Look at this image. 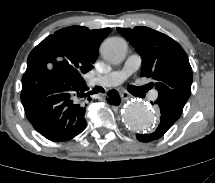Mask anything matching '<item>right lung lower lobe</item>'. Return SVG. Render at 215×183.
I'll list each match as a JSON object with an SVG mask.
<instances>
[{"label": "right lung lower lobe", "instance_id": "obj_1", "mask_svg": "<svg viewBox=\"0 0 215 183\" xmlns=\"http://www.w3.org/2000/svg\"><path fill=\"white\" fill-rule=\"evenodd\" d=\"M91 93L67 67L46 72L38 52L30 53L22 77L21 102L29 122L45 138L66 141L80 134L86 127L85 107ZM107 101L119 105L118 92L110 90Z\"/></svg>", "mask_w": 215, "mask_h": 183}]
</instances>
